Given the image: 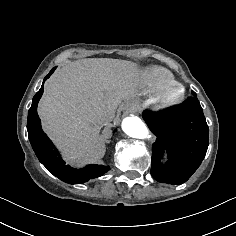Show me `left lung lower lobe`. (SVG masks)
I'll list each match as a JSON object with an SVG mask.
<instances>
[{"mask_svg": "<svg viewBox=\"0 0 236 236\" xmlns=\"http://www.w3.org/2000/svg\"><path fill=\"white\" fill-rule=\"evenodd\" d=\"M171 109L144 111L143 119L157 136L152 146L151 174L159 182L182 184L202 163L209 144V131L196 93ZM164 151L168 160L161 162Z\"/></svg>", "mask_w": 236, "mask_h": 236, "instance_id": "obj_1", "label": "left lung lower lobe"}]
</instances>
